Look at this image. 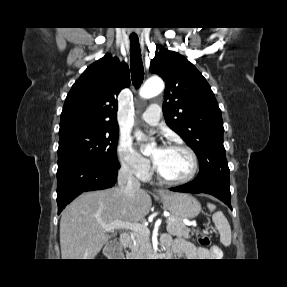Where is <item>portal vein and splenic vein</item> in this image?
<instances>
[{"mask_svg": "<svg viewBox=\"0 0 287 287\" xmlns=\"http://www.w3.org/2000/svg\"><path fill=\"white\" fill-rule=\"evenodd\" d=\"M103 227L105 228V231H110L114 229H128L133 232L150 233L149 229L144 225L138 223L124 222L120 220H115L110 224L103 225Z\"/></svg>", "mask_w": 287, "mask_h": 287, "instance_id": "1", "label": "portal vein and splenic vein"}]
</instances>
